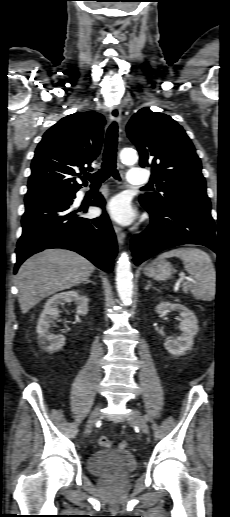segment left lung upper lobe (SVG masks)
<instances>
[{
    "label": "left lung upper lobe",
    "mask_w": 230,
    "mask_h": 517,
    "mask_svg": "<svg viewBox=\"0 0 230 517\" xmlns=\"http://www.w3.org/2000/svg\"><path fill=\"white\" fill-rule=\"evenodd\" d=\"M127 135L138 148L140 166L152 167L158 191L140 195L153 210L185 201H209L201 161L184 129L170 116L143 108L127 125Z\"/></svg>",
    "instance_id": "left-lung-upper-lobe-1"
}]
</instances>
